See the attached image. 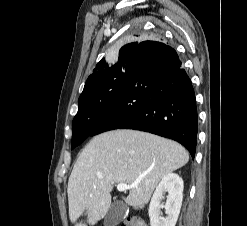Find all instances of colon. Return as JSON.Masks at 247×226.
Wrapping results in <instances>:
<instances>
[{"label":"colon","instance_id":"5ec220e1","mask_svg":"<svg viewBox=\"0 0 247 226\" xmlns=\"http://www.w3.org/2000/svg\"><path fill=\"white\" fill-rule=\"evenodd\" d=\"M120 226H146L145 222L139 217H129Z\"/></svg>","mask_w":247,"mask_h":226}]
</instances>
